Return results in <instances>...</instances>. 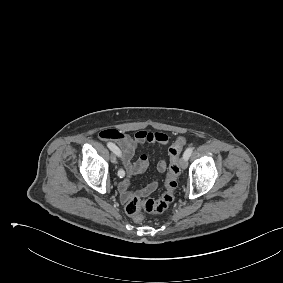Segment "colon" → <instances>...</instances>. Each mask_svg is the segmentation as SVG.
I'll return each instance as SVG.
<instances>
[{
	"label": "colon",
	"instance_id": "5ec220e1",
	"mask_svg": "<svg viewBox=\"0 0 283 283\" xmlns=\"http://www.w3.org/2000/svg\"><path fill=\"white\" fill-rule=\"evenodd\" d=\"M185 143V138L179 136L169 148L170 165L164 181V193L158 199L143 200L138 196H134L126 203L125 211L135 221L143 219L142 209L149 213H161L172 203L174 191L177 187V178L180 174L179 156Z\"/></svg>",
	"mask_w": 283,
	"mask_h": 283
}]
</instances>
